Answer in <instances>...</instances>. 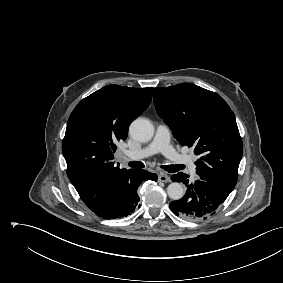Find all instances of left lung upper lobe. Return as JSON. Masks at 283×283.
Returning <instances> with one entry per match:
<instances>
[{
  "instance_id": "obj_1",
  "label": "left lung upper lobe",
  "mask_w": 283,
  "mask_h": 283,
  "mask_svg": "<svg viewBox=\"0 0 283 283\" xmlns=\"http://www.w3.org/2000/svg\"><path fill=\"white\" fill-rule=\"evenodd\" d=\"M153 100L179 143L194 148L199 179L231 193L243 148L234 113L224 99L195 84L181 83L155 88Z\"/></svg>"
}]
</instances>
